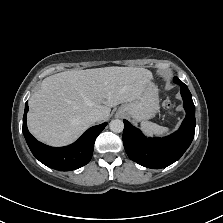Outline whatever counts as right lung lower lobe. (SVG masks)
<instances>
[{
  "label": "right lung lower lobe",
  "mask_w": 223,
  "mask_h": 223,
  "mask_svg": "<svg viewBox=\"0 0 223 223\" xmlns=\"http://www.w3.org/2000/svg\"><path fill=\"white\" fill-rule=\"evenodd\" d=\"M28 102L23 116V134L33 155L44 165L60 170L71 171L86 165L92 158L96 137L107 123L88 129L75 143L66 147H50L37 141L28 131L26 115Z\"/></svg>",
  "instance_id": "1"
}]
</instances>
